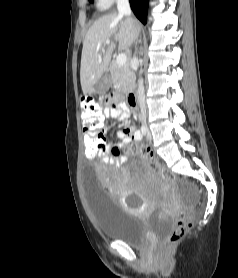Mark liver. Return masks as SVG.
Here are the masks:
<instances>
[{"mask_svg": "<svg viewBox=\"0 0 238 278\" xmlns=\"http://www.w3.org/2000/svg\"><path fill=\"white\" fill-rule=\"evenodd\" d=\"M140 32L136 19L126 18L119 13H110L100 17L89 28L83 41L81 56L80 81L83 93L94 91L93 87L107 71L112 53L116 48L129 51ZM106 41H109L104 49Z\"/></svg>", "mask_w": 238, "mask_h": 278, "instance_id": "1", "label": "liver"}]
</instances>
